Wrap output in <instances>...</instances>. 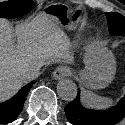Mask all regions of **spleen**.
Returning a JSON list of instances; mask_svg holds the SVG:
<instances>
[{
	"instance_id": "obj_1",
	"label": "spleen",
	"mask_w": 125,
	"mask_h": 125,
	"mask_svg": "<svg viewBox=\"0 0 125 125\" xmlns=\"http://www.w3.org/2000/svg\"><path fill=\"white\" fill-rule=\"evenodd\" d=\"M82 102L93 108H105L112 104V100L94 94L91 91H84L82 94Z\"/></svg>"
}]
</instances>
